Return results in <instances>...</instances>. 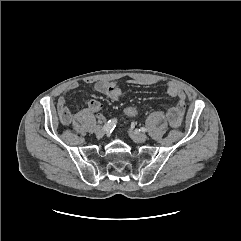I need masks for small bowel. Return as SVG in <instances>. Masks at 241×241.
Instances as JSON below:
<instances>
[{
	"instance_id": "1",
	"label": "small bowel",
	"mask_w": 241,
	"mask_h": 241,
	"mask_svg": "<svg viewBox=\"0 0 241 241\" xmlns=\"http://www.w3.org/2000/svg\"><path fill=\"white\" fill-rule=\"evenodd\" d=\"M90 82V81H88ZM134 84H144L149 85L153 84L152 81H143V80H130ZM78 87L77 82H72L66 88L64 94H62L57 103V112L60 122L63 125H70L73 121V114L71 110L66 105V95L72 90ZM94 88L98 92L108 96L111 100L117 101L123 94L122 88L118 83L113 81L100 80L94 83ZM166 92L171 97L176 99L174 106L169 108L167 111V118L172 127L180 126L185 110H186V95L184 91L174 82H169L166 86ZM85 104L88 110L92 112H99L102 109V104L95 99L85 100ZM103 117V115H99Z\"/></svg>"
}]
</instances>
